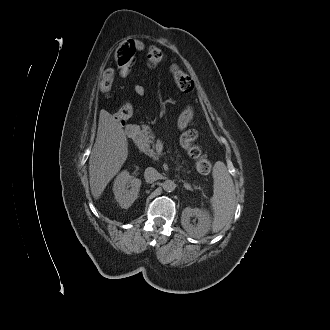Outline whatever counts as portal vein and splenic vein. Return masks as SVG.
<instances>
[{"label":"portal vein and splenic vein","mask_w":330,"mask_h":330,"mask_svg":"<svg viewBox=\"0 0 330 330\" xmlns=\"http://www.w3.org/2000/svg\"><path fill=\"white\" fill-rule=\"evenodd\" d=\"M162 151V146L161 145H157V152L160 154Z\"/></svg>","instance_id":"portal-vein-and-splenic-vein-1"}]
</instances>
